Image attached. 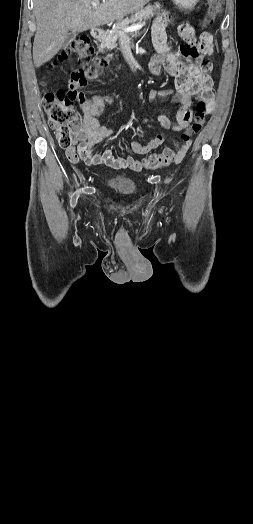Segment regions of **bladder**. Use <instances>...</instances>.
Segmentation results:
<instances>
[{
    "label": "bladder",
    "instance_id": "31cf9c89",
    "mask_svg": "<svg viewBox=\"0 0 253 524\" xmlns=\"http://www.w3.org/2000/svg\"><path fill=\"white\" fill-rule=\"evenodd\" d=\"M105 184L114 191L131 195L136 191V182L129 176L117 173H108L105 175Z\"/></svg>",
    "mask_w": 253,
    "mask_h": 524
}]
</instances>
